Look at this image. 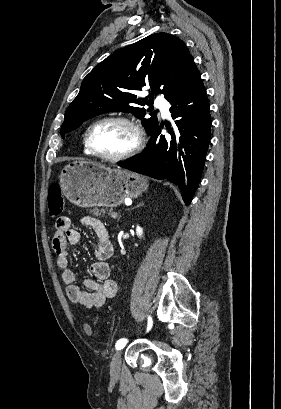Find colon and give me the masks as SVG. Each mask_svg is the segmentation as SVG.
Returning a JSON list of instances; mask_svg holds the SVG:
<instances>
[{
    "instance_id": "5ec220e1",
    "label": "colon",
    "mask_w": 281,
    "mask_h": 409,
    "mask_svg": "<svg viewBox=\"0 0 281 409\" xmlns=\"http://www.w3.org/2000/svg\"><path fill=\"white\" fill-rule=\"evenodd\" d=\"M48 203H49V207H48L49 215L51 217L60 216L64 208V202H63V197H62V192H61V186L59 184H54L49 187ZM83 328L86 329L85 332L89 336L92 335L94 332L93 329L90 328L89 322H84Z\"/></svg>"
}]
</instances>
